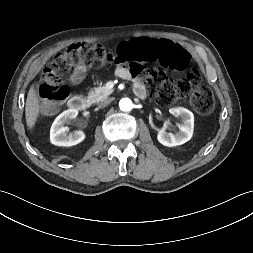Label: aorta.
<instances>
[{
	"label": "aorta",
	"mask_w": 253,
	"mask_h": 253,
	"mask_svg": "<svg viewBox=\"0 0 253 253\" xmlns=\"http://www.w3.org/2000/svg\"><path fill=\"white\" fill-rule=\"evenodd\" d=\"M119 107L122 111H130L133 108V103L129 98H122L119 102Z\"/></svg>",
	"instance_id": "1"
}]
</instances>
